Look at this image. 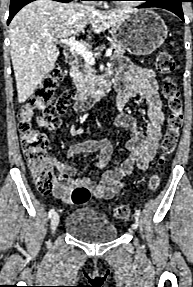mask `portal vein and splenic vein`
Returning a JSON list of instances; mask_svg holds the SVG:
<instances>
[{
  "mask_svg": "<svg viewBox=\"0 0 193 287\" xmlns=\"http://www.w3.org/2000/svg\"><path fill=\"white\" fill-rule=\"evenodd\" d=\"M50 41L51 42L56 41V42L67 45L68 47L76 51L78 54H80L86 63H88L89 65L95 64V59L93 57V54L82 43L76 41L75 36H71L69 38H62L59 40L52 38L50 39ZM111 54H112V50L108 49L105 55L106 57H110Z\"/></svg>",
  "mask_w": 193,
  "mask_h": 287,
  "instance_id": "obj_1",
  "label": "portal vein and splenic vein"
}]
</instances>
